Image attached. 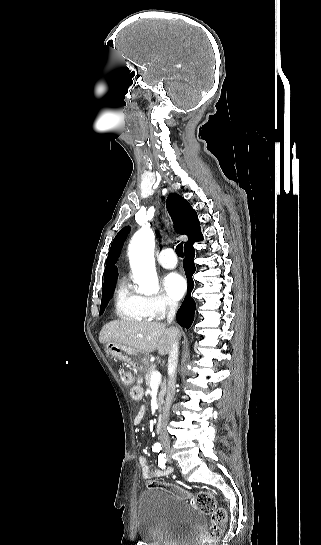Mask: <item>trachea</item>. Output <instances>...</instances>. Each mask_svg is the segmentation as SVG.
Returning a JSON list of instances; mask_svg holds the SVG:
<instances>
[{
  "label": "trachea",
  "instance_id": "trachea-1",
  "mask_svg": "<svg viewBox=\"0 0 321 545\" xmlns=\"http://www.w3.org/2000/svg\"><path fill=\"white\" fill-rule=\"evenodd\" d=\"M176 254L179 256V257H184V252H183V242L179 243L176 247Z\"/></svg>",
  "mask_w": 321,
  "mask_h": 545
}]
</instances>
